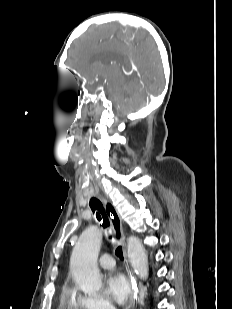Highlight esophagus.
Listing matches in <instances>:
<instances>
[{"label": "esophagus", "mask_w": 232, "mask_h": 309, "mask_svg": "<svg viewBox=\"0 0 232 309\" xmlns=\"http://www.w3.org/2000/svg\"><path fill=\"white\" fill-rule=\"evenodd\" d=\"M103 201H104L106 213L109 216V219L112 224L115 238L117 239L119 244L122 246L124 259H125V262L128 268V277L130 279V283L132 286V298H131L128 309H134L137 306V304H139L141 298L139 296L138 282L132 270L129 267L128 257H127V247H126L125 236H124L123 227H122V221L114 205L106 199H103Z\"/></svg>", "instance_id": "obj_1"}]
</instances>
